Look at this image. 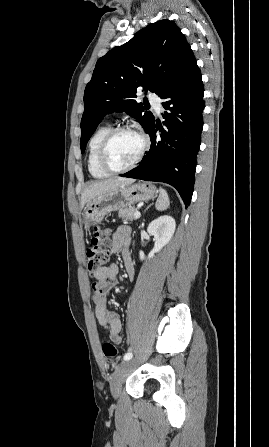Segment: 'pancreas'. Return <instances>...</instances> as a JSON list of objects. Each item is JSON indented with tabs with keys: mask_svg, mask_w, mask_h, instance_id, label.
Returning a JSON list of instances; mask_svg holds the SVG:
<instances>
[{
	"mask_svg": "<svg viewBox=\"0 0 269 447\" xmlns=\"http://www.w3.org/2000/svg\"><path fill=\"white\" fill-rule=\"evenodd\" d=\"M134 214H135L134 206H130V208H123V210H119V218H123V220H136Z\"/></svg>",
	"mask_w": 269,
	"mask_h": 447,
	"instance_id": "cf45deb5",
	"label": "pancreas"
}]
</instances>
